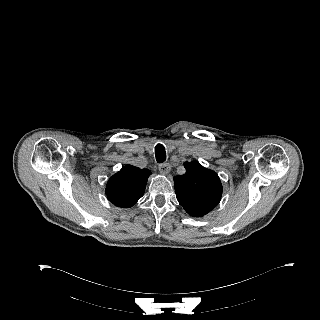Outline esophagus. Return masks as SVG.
I'll use <instances>...</instances> for the list:
<instances>
[{
	"label": "esophagus",
	"mask_w": 320,
	"mask_h": 320,
	"mask_svg": "<svg viewBox=\"0 0 320 320\" xmlns=\"http://www.w3.org/2000/svg\"><path fill=\"white\" fill-rule=\"evenodd\" d=\"M159 168V171L162 173V174H168L170 172V164L169 163H162V164H159L158 166Z\"/></svg>",
	"instance_id": "obj_1"
}]
</instances>
